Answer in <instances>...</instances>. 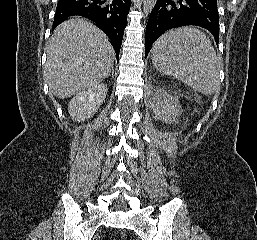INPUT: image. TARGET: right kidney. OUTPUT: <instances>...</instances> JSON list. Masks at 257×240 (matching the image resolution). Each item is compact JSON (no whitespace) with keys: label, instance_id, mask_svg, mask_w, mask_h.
Segmentation results:
<instances>
[{"label":"right kidney","instance_id":"ca27d5eb","mask_svg":"<svg viewBox=\"0 0 257 240\" xmlns=\"http://www.w3.org/2000/svg\"><path fill=\"white\" fill-rule=\"evenodd\" d=\"M107 84H99L78 93L68 104V112L73 120L84 121L92 117L107 95Z\"/></svg>","mask_w":257,"mask_h":240}]
</instances>
